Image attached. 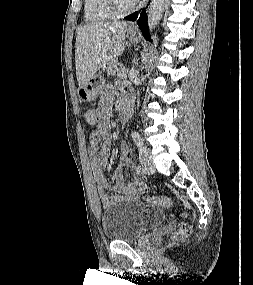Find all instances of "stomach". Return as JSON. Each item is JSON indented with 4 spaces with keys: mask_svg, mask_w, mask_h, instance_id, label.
I'll return each instance as SVG.
<instances>
[{
    "mask_svg": "<svg viewBox=\"0 0 253 285\" xmlns=\"http://www.w3.org/2000/svg\"><path fill=\"white\" fill-rule=\"evenodd\" d=\"M127 36L131 42H137L139 39L138 34L131 31H128ZM103 85V77L99 74H94L84 85L79 86L78 96L84 102L93 101L98 97Z\"/></svg>",
    "mask_w": 253,
    "mask_h": 285,
    "instance_id": "1",
    "label": "stomach"
}]
</instances>
